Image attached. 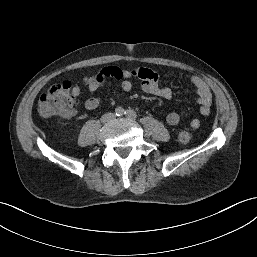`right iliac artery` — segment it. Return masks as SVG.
<instances>
[{
	"label": "right iliac artery",
	"instance_id": "obj_1",
	"mask_svg": "<svg viewBox=\"0 0 257 257\" xmlns=\"http://www.w3.org/2000/svg\"><path fill=\"white\" fill-rule=\"evenodd\" d=\"M115 113L117 116H122L125 113V111L123 108L118 107V108H116Z\"/></svg>",
	"mask_w": 257,
	"mask_h": 257
}]
</instances>
